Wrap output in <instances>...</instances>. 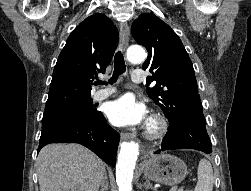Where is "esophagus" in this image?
<instances>
[{
    "label": "esophagus",
    "mask_w": 251,
    "mask_h": 191,
    "mask_svg": "<svg viewBox=\"0 0 251 191\" xmlns=\"http://www.w3.org/2000/svg\"><path fill=\"white\" fill-rule=\"evenodd\" d=\"M129 41V27L127 23H120V47L126 50ZM135 137L133 133H121V140H131Z\"/></svg>",
    "instance_id": "1"
}]
</instances>
